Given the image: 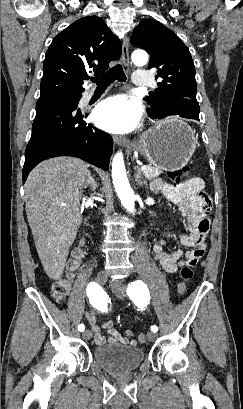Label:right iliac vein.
I'll list each match as a JSON object with an SVG mask.
<instances>
[{
  "instance_id": "1",
  "label": "right iliac vein",
  "mask_w": 243,
  "mask_h": 409,
  "mask_svg": "<svg viewBox=\"0 0 243 409\" xmlns=\"http://www.w3.org/2000/svg\"><path fill=\"white\" fill-rule=\"evenodd\" d=\"M96 281H97L99 284H101V285L105 284L106 281H107V276H106V274L103 273V272H99V273L97 274V276H96ZM82 337H83V339H85V340L91 339V338H92V331H91V330H85V331L83 332V334H82Z\"/></svg>"
}]
</instances>
